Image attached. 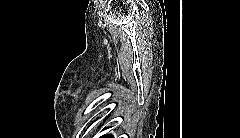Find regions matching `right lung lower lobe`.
<instances>
[{
    "instance_id": "obj_1",
    "label": "right lung lower lobe",
    "mask_w": 240,
    "mask_h": 138,
    "mask_svg": "<svg viewBox=\"0 0 240 138\" xmlns=\"http://www.w3.org/2000/svg\"><path fill=\"white\" fill-rule=\"evenodd\" d=\"M100 138H113L112 135H107V136H101Z\"/></svg>"
}]
</instances>
